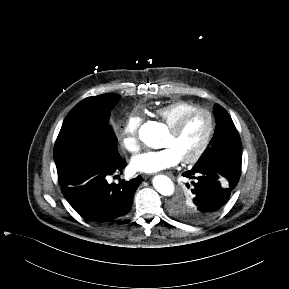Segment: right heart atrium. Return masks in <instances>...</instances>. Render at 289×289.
Segmentation results:
<instances>
[{
	"mask_svg": "<svg viewBox=\"0 0 289 289\" xmlns=\"http://www.w3.org/2000/svg\"><path fill=\"white\" fill-rule=\"evenodd\" d=\"M142 123V118L137 113H131L124 122L121 130V144L125 150L136 153L140 150L138 130Z\"/></svg>",
	"mask_w": 289,
	"mask_h": 289,
	"instance_id": "1",
	"label": "right heart atrium"
}]
</instances>
